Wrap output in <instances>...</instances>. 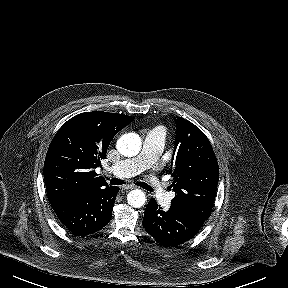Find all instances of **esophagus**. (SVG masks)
<instances>
[{"label": "esophagus", "mask_w": 288, "mask_h": 288, "mask_svg": "<svg viewBox=\"0 0 288 288\" xmlns=\"http://www.w3.org/2000/svg\"><path fill=\"white\" fill-rule=\"evenodd\" d=\"M136 188V186H134V185H125V186H123V189H135Z\"/></svg>", "instance_id": "esophagus-1"}]
</instances>
